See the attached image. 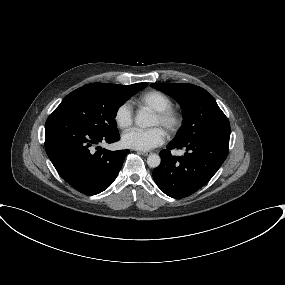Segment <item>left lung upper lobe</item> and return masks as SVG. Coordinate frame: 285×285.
Instances as JSON below:
<instances>
[{"label":"left lung upper lobe","mask_w":285,"mask_h":285,"mask_svg":"<svg viewBox=\"0 0 285 285\" xmlns=\"http://www.w3.org/2000/svg\"><path fill=\"white\" fill-rule=\"evenodd\" d=\"M151 86L174 98L182 107V126L173 142L187 143L201 138L229 141V121L213 96L205 89L185 83Z\"/></svg>","instance_id":"5c2ea615"}]
</instances>
